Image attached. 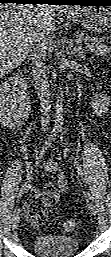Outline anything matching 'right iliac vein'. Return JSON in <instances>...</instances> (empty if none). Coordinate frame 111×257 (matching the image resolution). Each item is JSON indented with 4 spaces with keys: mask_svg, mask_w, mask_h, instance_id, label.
I'll return each mask as SVG.
<instances>
[{
    "mask_svg": "<svg viewBox=\"0 0 111 257\" xmlns=\"http://www.w3.org/2000/svg\"><path fill=\"white\" fill-rule=\"evenodd\" d=\"M21 216V211L20 209H16L13 214L12 218V228L15 229L18 226L19 220Z\"/></svg>",
    "mask_w": 111,
    "mask_h": 257,
    "instance_id": "obj_1",
    "label": "right iliac vein"
}]
</instances>
